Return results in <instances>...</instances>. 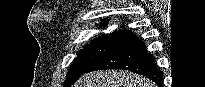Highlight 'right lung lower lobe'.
I'll list each match as a JSON object with an SVG mask.
<instances>
[{
	"label": "right lung lower lobe",
	"mask_w": 205,
	"mask_h": 87,
	"mask_svg": "<svg viewBox=\"0 0 205 87\" xmlns=\"http://www.w3.org/2000/svg\"><path fill=\"white\" fill-rule=\"evenodd\" d=\"M101 69H123L163 84V73L156 68L153 55L148 54L144 44L133 35L122 45L93 64L86 72Z\"/></svg>",
	"instance_id": "1"
}]
</instances>
